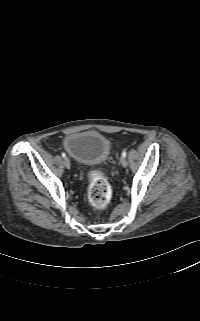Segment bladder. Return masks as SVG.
Instances as JSON below:
<instances>
[{
  "label": "bladder",
  "instance_id": "obj_1",
  "mask_svg": "<svg viewBox=\"0 0 200 321\" xmlns=\"http://www.w3.org/2000/svg\"><path fill=\"white\" fill-rule=\"evenodd\" d=\"M63 147L75 161L85 165L104 162L111 150L109 139L96 130L68 134L63 141Z\"/></svg>",
  "mask_w": 200,
  "mask_h": 321
}]
</instances>
